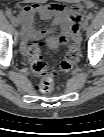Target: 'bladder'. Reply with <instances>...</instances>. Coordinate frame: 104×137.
I'll list each match as a JSON object with an SVG mask.
<instances>
[{
	"mask_svg": "<svg viewBox=\"0 0 104 137\" xmlns=\"http://www.w3.org/2000/svg\"><path fill=\"white\" fill-rule=\"evenodd\" d=\"M56 47H57V42L56 41L50 42V44H49L50 49H55Z\"/></svg>",
	"mask_w": 104,
	"mask_h": 137,
	"instance_id": "bladder-1",
	"label": "bladder"
}]
</instances>
